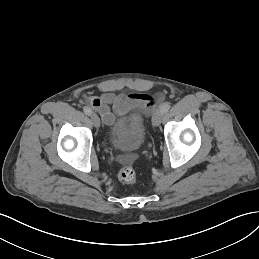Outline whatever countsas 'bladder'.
I'll use <instances>...</instances> for the list:
<instances>
[{"mask_svg": "<svg viewBox=\"0 0 259 259\" xmlns=\"http://www.w3.org/2000/svg\"><path fill=\"white\" fill-rule=\"evenodd\" d=\"M130 132V139L126 136ZM147 133L142 120L134 115L129 121L119 120L109 132V143L112 147L128 151L139 149L146 143Z\"/></svg>", "mask_w": 259, "mask_h": 259, "instance_id": "1", "label": "bladder"}]
</instances>
